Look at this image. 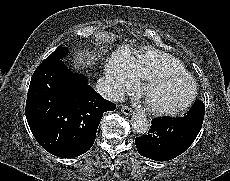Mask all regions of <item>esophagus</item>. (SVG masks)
Instances as JSON below:
<instances>
[{"mask_svg":"<svg viewBox=\"0 0 230 181\" xmlns=\"http://www.w3.org/2000/svg\"><path fill=\"white\" fill-rule=\"evenodd\" d=\"M121 110L127 116L131 115L132 113V109L127 105L122 106Z\"/></svg>","mask_w":230,"mask_h":181,"instance_id":"1","label":"esophagus"}]
</instances>
